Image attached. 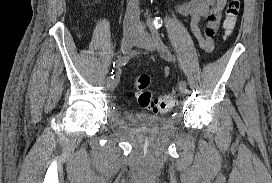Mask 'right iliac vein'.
<instances>
[{"instance_id":"63e3f726","label":"right iliac vein","mask_w":272,"mask_h":183,"mask_svg":"<svg viewBox=\"0 0 272 183\" xmlns=\"http://www.w3.org/2000/svg\"><path fill=\"white\" fill-rule=\"evenodd\" d=\"M136 40H137V36L133 31L125 32L122 38V43H121L122 52L127 53L132 48V46L136 43ZM118 80L119 79H117V81H110V79L107 78L106 80L107 88L109 90H113L117 86Z\"/></svg>"}]
</instances>
